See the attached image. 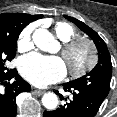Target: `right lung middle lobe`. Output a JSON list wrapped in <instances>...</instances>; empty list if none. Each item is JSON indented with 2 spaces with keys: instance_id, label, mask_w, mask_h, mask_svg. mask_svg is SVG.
Returning <instances> with one entry per match:
<instances>
[{
  "instance_id": "right-lung-middle-lobe-1",
  "label": "right lung middle lobe",
  "mask_w": 117,
  "mask_h": 117,
  "mask_svg": "<svg viewBox=\"0 0 117 117\" xmlns=\"http://www.w3.org/2000/svg\"><path fill=\"white\" fill-rule=\"evenodd\" d=\"M24 27L25 25L18 21L0 27V73L6 70L5 62L14 58L17 39Z\"/></svg>"
}]
</instances>
